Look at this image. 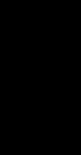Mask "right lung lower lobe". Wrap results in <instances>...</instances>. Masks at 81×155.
Masks as SVG:
<instances>
[{"instance_id": "obj_1", "label": "right lung lower lobe", "mask_w": 81, "mask_h": 155, "mask_svg": "<svg viewBox=\"0 0 81 155\" xmlns=\"http://www.w3.org/2000/svg\"><path fill=\"white\" fill-rule=\"evenodd\" d=\"M23 115H24V114H23ZM23 115H22V116H19V117H17V118H15V119H13V120H11V121L7 124V126H8V127H13V126L19 124L20 121H21V119H22V117H23Z\"/></svg>"}]
</instances>
